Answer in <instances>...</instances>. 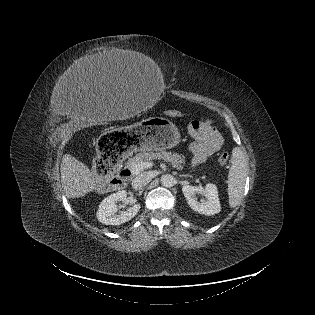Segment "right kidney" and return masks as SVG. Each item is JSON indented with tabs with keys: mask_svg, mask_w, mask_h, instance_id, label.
<instances>
[{
	"mask_svg": "<svg viewBox=\"0 0 315 315\" xmlns=\"http://www.w3.org/2000/svg\"><path fill=\"white\" fill-rule=\"evenodd\" d=\"M127 199V192L125 190L113 193L105 198L99 205L96 217L99 222L105 225H120L131 220L140 209V204L130 206L126 211H118L117 202H125Z\"/></svg>",
	"mask_w": 315,
	"mask_h": 315,
	"instance_id": "obj_1",
	"label": "right kidney"
}]
</instances>
